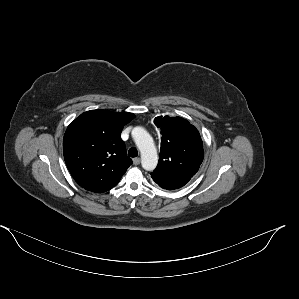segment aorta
Here are the masks:
<instances>
[{
	"instance_id": "obj_1",
	"label": "aorta",
	"mask_w": 299,
	"mask_h": 299,
	"mask_svg": "<svg viewBox=\"0 0 299 299\" xmlns=\"http://www.w3.org/2000/svg\"><path fill=\"white\" fill-rule=\"evenodd\" d=\"M134 141L141 152V164L147 171H153L158 163L157 150L151 135L142 127L132 130Z\"/></svg>"
}]
</instances>
